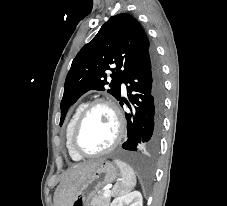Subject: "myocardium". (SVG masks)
Returning a JSON list of instances; mask_svg holds the SVG:
<instances>
[{"label":"myocardium","mask_w":227,"mask_h":206,"mask_svg":"<svg viewBox=\"0 0 227 206\" xmlns=\"http://www.w3.org/2000/svg\"><path fill=\"white\" fill-rule=\"evenodd\" d=\"M99 105L107 106L112 111L116 121V135L113 142L107 148L95 153L85 152L78 146V142H77L78 134L88 113L94 107ZM124 133H125V122L119 106L110 98L100 97L87 103L86 106L81 111V113L79 114L75 122V125L72 129L70 144H71L72 150L81 157H88V158L98 157V156L105 155L111 152L112 150H114L122 141L124 137Z\"/></svg>","instance_id":"f54148a6"}]
</instances>
